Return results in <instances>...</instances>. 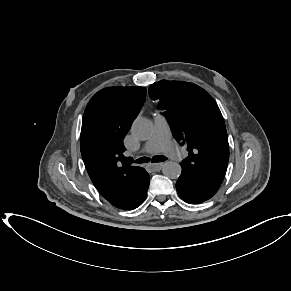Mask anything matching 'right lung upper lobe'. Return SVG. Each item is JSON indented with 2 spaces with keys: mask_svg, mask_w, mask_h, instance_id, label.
<instances>
[{
  "mask_svg": "<svg viewBox=\"0 0 291 291\" xmlns=\"http://www.w3.org/2000/svg\"><path fill=\"white\" fill-rule=\"evenodd\" d=\"M144 87H108L88 102L82 119L81 155L101 195L112 205L127 203L138 193L144 168L131 166L123 138L145 101Z\"/></svg>",
  "mask_w": 291,
  "mask_h": 291,
  "instance_id": "1",
  "label": "right lung upper lobe"
}]
</instances>
